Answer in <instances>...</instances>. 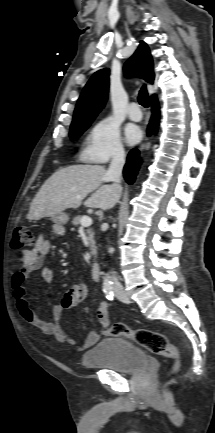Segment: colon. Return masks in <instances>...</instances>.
<instances>
[{"label":"colon","instance_id":"1","mask_svg":"<svg viewBox=\"0 0 215 433\" xmlns=\"http://www.w3.org/2000/svg\"><path fill=\"white\" fill-rule=\"evenodd\" d=\"M33 243L32 232L25 224H17L13 230L12 247L22 249ZM110 337H126L135 341L148 351L169 359L172 364L169 370L174 375L179 370V351L176 345L170 343L160 332L149 329H132L123 323H114L104 330Z\"/></svg>","mask_w":215,"mask_h":433}]
</instances>
